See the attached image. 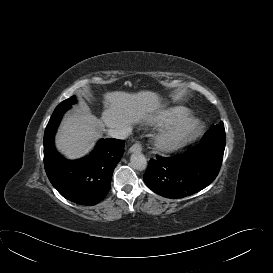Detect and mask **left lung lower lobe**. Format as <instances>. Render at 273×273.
<instances>
[{
	"label": "left lung lower lobe",
	"instance_id": "left-lung-lower-lobe-1",
	"mask_svg": "<svg viewBox=\"0 0 273 273\" xmlns=\"http://www.w3.org/2000/svg\"><path fill=\"white\" fill-rule=\"evenodd\" d=\"M223 154L197 145L182 154L149 161L143 176L146 185L166 198H183L211 184L220 170Z\"/></svg>",
	"mask_w": 273,
	"mask_h": 273
}]
</instances>
